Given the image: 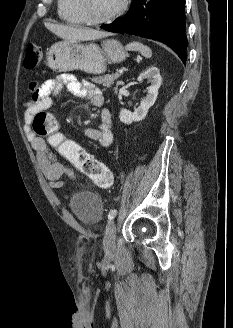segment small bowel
I'll return each instance as SVG.
<instances>
[{
  "label": "small bowel",
  "mask_w": 233,
  "mask_h": 328,
  "mask_svg": "<svg viewBox=\"0 0 233 328\" xmlns=\"http://www.w3.org/2000/svg\"><path fill=\"white\" fill-rule=\"evenodd\" d=\"M65 87L72 95L80 99H88L95 107H102L104 97L102 91L89 81H78L73 75L60 74L43 82L39 87L31 85L32 94L25 104L23 126L33 149L36 151L40 168L52 188L60 189L65 186L64 176H74L67 165L57 158L45 139L35 137L30 133V123L34 115L46 111L52 104L55 95ZM112 117L108 109L102 108L98 128H87L85 135L101 147H108L113 141Z\"/></svg>",
  "instance_id": "small-bowel-1"
}]
</instances>
